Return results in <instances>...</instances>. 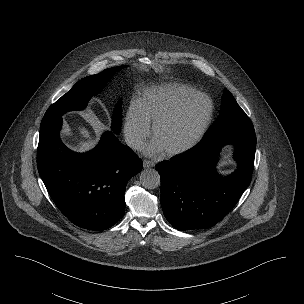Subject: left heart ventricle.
Instances as JSON below:
<instances>
[{"label":"left heart ventricle","mask_w":304,"mask_h":304,"mask_svg":"<svg viewBox=\"0 0 304 304\" xmlns=\"http://www.w3.org/2000/svg\"><path fill=\"white\" fill-rule=\"evenodd\" d=\"M207 111V104L198 100L190 103L178 116L163 124L155 139L164 150L178 147L189 141L198 128Z\"/></svg>","instance_id":"left-heart-ventricle-1"}]
</instances>
